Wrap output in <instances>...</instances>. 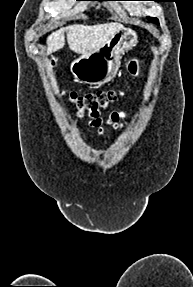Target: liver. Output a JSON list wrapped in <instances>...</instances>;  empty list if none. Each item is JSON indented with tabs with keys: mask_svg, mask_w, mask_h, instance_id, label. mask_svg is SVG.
Returning a JSON list of instances; mask_svg holds the SVG:
<instances>
[{
	"mask_svg": "<svg viewBox=\"0 0 193 287\" xmlns=\"http://www.w3.org/2000/svg\"><path fill=\"white\" fill-rule=\"evenodd\" d=\"M123 26L119 23H105L93 26L71 25L53 32L47 38V54H51L65 45L64 32H67V42L69 48L78 54L88 55L94 53Z\"/></svg>",
	"mask_w": 193,
	"mask_h": 287,
	"instance_id": "obj_1",
	"label": "liver"
}]
</instances>
